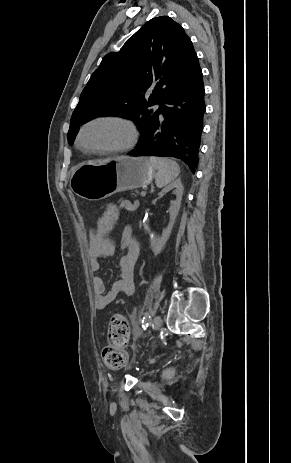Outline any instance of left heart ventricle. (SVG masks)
I'll use <instances>...</instances> for the list:
<instances>
[{
    "label": "left heart ventricle",
    "mask_w": 291,
    "mask_h": 463,
    "mask_svg": "<svg viewBox=\"0 0 291 463\" xmlns=\"http://www.w3.org/2000/svg\"><path fill=\"white\" fill-rule=\"evenodd\" d=\"M127 136V130L121 124L103 122L87 128L82 143L86 146H115L123 144Z\"/></svg>",
    "instance_id": "obj_1"
}]
</instances>
